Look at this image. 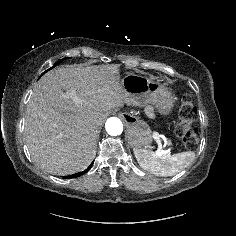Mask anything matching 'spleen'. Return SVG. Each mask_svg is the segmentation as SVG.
<instances>
[{
  "label": "spleen",
  "instance_id": "spleen-1",
  "mask_svg": "<svg viewBox=\"0 0 236 236\" xmlns=\"http://www.w3.org/2000/svg\"><path fill=\"white\" fill-rule=\"evenodd\" d=\"M134 155L144 170L160 176H173L192 163L195 153L192 151L174 155L148 149H134Z\"/></svg>",
  "mask_w": 236,
  "mask_h": 236
}]
</instances>
